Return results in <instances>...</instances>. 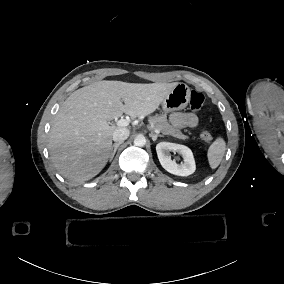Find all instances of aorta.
I'll return each mask as SVG.
<instances>
[{
    "instance_id": "aorta-1",
    "label": "aorta",
    "mask_w": 284,
    "mask_h": 284,
    "mask_svg": "<svg viewBox=\"0 0 284 284\" xmlns=\"http://www.w3.org/2000/svg\"><path fill=\"white\" fill-rule=\"evenodd\" d=\"M134 144L139 147H143L146 144V139L143 135H138L134 139Z\"/></svg>"
}]
</instances>
